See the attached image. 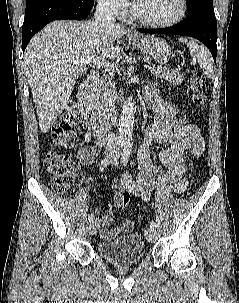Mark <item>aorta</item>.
I'll list each match as a JSON object with an SVG mask.
<instances>
[{"mask_svg": "<svg viewBox=\"0 0 239 303\" xmlns=\"http://www.w3.org/2000/svg\"><path fill=\"white\" fill-rule=\"evenodd\" d=\"M136 113V102L132 96L125 101L119 119V139L122 142L132 140L133 124Z\"/></svg>", "mask_w": 239, "mask_h": 303, "instance_id": "1", "label": "aorta"}]
</instances>
